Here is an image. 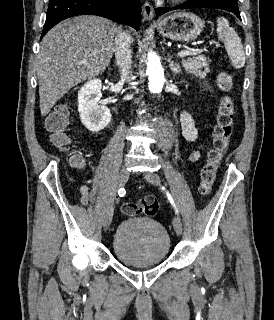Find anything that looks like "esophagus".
<instances>
[{"label": "esophagus", "instance_id": "34e87169", "mask_svg": "<svg viewBox=\"0 0 274 320\" xmlns=\"http://www.w3.org/2000/svg\"><path fill=\"white\" fill-rule=\"evenodd\" d=\"M154 16V9L149 2L143 4V19L150 22Z\"/></svg>", "mask_w": 274, "mask_h": 320}]
</instances>
